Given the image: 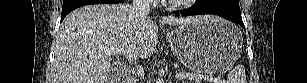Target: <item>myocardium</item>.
I'll list each match as a JSON object with an SVG mask.
<instances>
[{"instance_id": "myocardium-1", "label": "myocardium", "mask_w": 307, "mask_h": 83, "mask_svg": "<svg viewBox=\"0 0 307 83\" xmlns=\"http://www.w3.org/2000/svg\"><path fill=\"white\" fill-rule=\"evenodd\" d=\"M191 2H195V0H171L167 4V7L171 9H179V8L186 6L187 4Z\"/></svg>"}]
</instances>
